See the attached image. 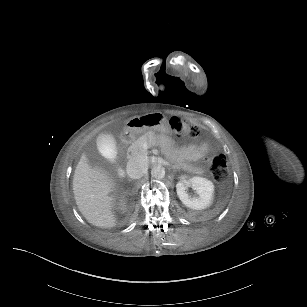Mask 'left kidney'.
Masks as SVG:
<instances>
[{
	"mask_svg": "<svg viewBox=\"0 0 307 307\" xmlns=\"http://www.w3.org/2000/svg\"><path fill=\"white\" fill-rule=\"evenodd\" d=\"M191 187L196 195H190L187 190ZM176 192L181 202L194 210H202L213 202L214 184L203 177H193L189 180L179 181L176 184Z\"/></svg>",
	"mask_w": 307,
	"mask_h": 307,
	"instance_id": "left-kidney-1",
	"label": "left kidney"
}]
</instances>
